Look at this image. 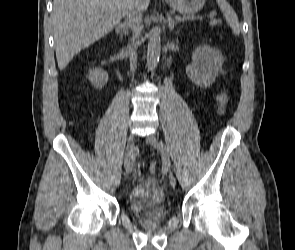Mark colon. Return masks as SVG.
Masks as SVG:
<instances>
[{"mask_svg": "<svg viewBox=\"0 0 295 250\" xmlns=\"http://www.w3.org/2000/svg\"><path fill=\"white\" fill-rule=\"evenodd\" d=\"M227 95L226 94H222L219 96L218 98V102H219V107H220V111H223L226 104H227ZM149 170L151 173H154L156 170V163L153 162L150 164Z\"/></svg>", "mask_w": 295, "mask_h": 250, "instance_id": "obj_1", "label": "colon"}]
</instances>
